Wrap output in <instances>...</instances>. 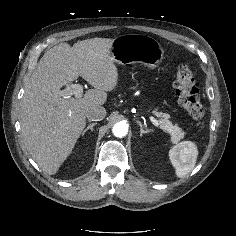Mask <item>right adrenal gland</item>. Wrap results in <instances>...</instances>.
I'll return each mask as SVG.
<instances>
[{
  "mask_svg": "<svg viewBox=\"0 0 236 236\" xmlns=\"http://www.w3.org/2000/svg\"><path fill=\"white\" fill-rule=\"evenodd\" d=\"M96 124H97L96 122L89 124V125L83 130L82 136H84L85 133H86L88 130H90V131L92 132V131H93V127H94Z\"/></svg>",
  "mask_w": 236,
  "mask_h": 236,
  "instance_id": "1",
  "label": "right adrenal gland"
}]
</instances>
